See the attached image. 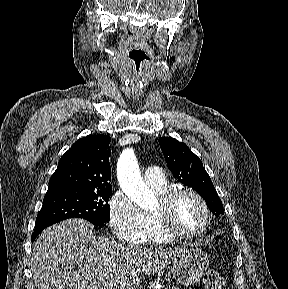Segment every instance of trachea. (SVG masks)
I'll return each instance as SVG.
<instances>
[{
    "instance_id": "1",
    "label": "trachea",
    "mask_w": 288,
    "mask_h": 289,
    "mask_svg": "<svg viewBox=\"0 0 288 289\" xmlns=\"http://www.w3.org/2000/svg\"><path fill=\"white\" fill-rule=\"evenodd\" d=\"M129 59L133 65H135L136 67L137 66L139 67L141 63L148 58L146 54L142 52L141 50L133 49L129 52Z\"/></svg>"
}]
</instances>
